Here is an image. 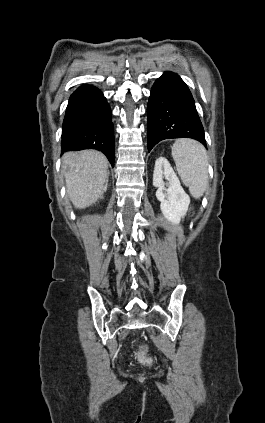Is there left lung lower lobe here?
I'll return each instance as SVG.
<instances>
[{
	"instance_id": "obj_1",
	"label": "left lung lower lobe",
	"mask_w": 265,
	"mask_h": 423,
	"mask_svg": "<svg viewBox=\"0 0 265 423\" xmlns=\"http://www.w3.org/2000/svg\"><path fill=\"white\" fill-rule=\"evenodd\" d=\"M148 152L161 140L193 138L206 146L195 102L184 81L165 72L154 83L148 107Z\"/></svg>"
}]
</instances>
